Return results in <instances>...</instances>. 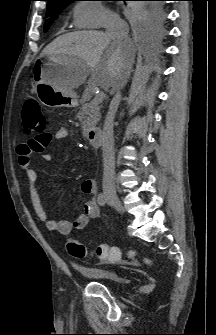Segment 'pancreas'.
I'll return each instance as SVG.
<instances>
[{
  "label": "pancreas",
  "instance_id": "cf45deb5",
  "mask_svg": "<svg viewBox=\"0 0 216 335\" xmlns=\"http://www.w3.org/2000/svg\"><path fill=\"white\" fill-rule=\"evenodd\" d=\"M91 94V89H86L80 100L82 106L77 113L78 119L82 122L83 135H86L92 126L97 125L101 117L100 106L98 104L94 105L92 102L86 103L90 99Z\"/></svg>",
  "mask_w": 216,
  "mask_h": 335
}]
</instances>
